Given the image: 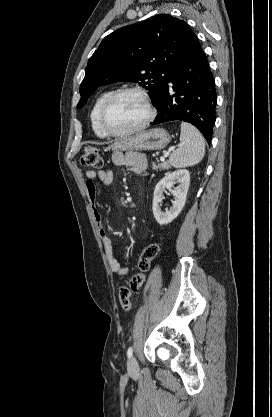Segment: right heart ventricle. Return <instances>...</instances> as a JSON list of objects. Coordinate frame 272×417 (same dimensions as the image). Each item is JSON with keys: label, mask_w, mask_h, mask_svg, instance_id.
I'll return each mask as SVG.
<instances>
[{"label": "right heart ventricle", "mask_w": 272, "mask_h": 417, "mask_svg": "<svg viewBox=\"0 0 272 417\" xmlns=\"http://www.w3.org/2000/svg\"><path fill=\"white\" fill-rule=\"evenodd\" d=\"M111 93H112V91H109V90L102 92L96 98V100L93 104V107L91 109V113H90V120H91L92 129H93L94 133L100 138H105L106 135L102 132V130L99 126V111H100V108H101L102 104L104 103L106 98Z\"/></svg>", "instance_id": "obj_1"}]
</instances>
